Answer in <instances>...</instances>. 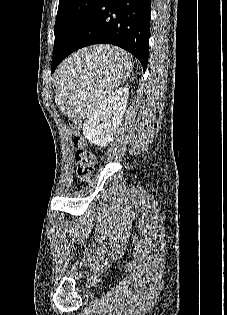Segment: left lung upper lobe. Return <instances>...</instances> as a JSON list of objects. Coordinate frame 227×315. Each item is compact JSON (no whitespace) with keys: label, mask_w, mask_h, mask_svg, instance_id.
Listing matches in <instances>:
<instances>
[{"label":"left lung upper lobe","mask_w":227,"mask_h":315,"mask_svg":"<svg viewBox=\"0 0 227 315\" xmlns=\"http://www.w3.org/2000/svg\"><path fill=\"white\" fill-rule=\"evenodd\" d=\"M101 0H60L54 27L53 54L63 51L84 23L92 16Z\"/></svg>","instance_id":"1"}]
</instances>
